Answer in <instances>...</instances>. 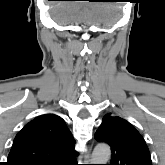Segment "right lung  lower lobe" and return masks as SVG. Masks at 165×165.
<instances>
[{
	"label": "right lung lower lobe",
	"mask_w": 165,
	"mask_h": 165,
	"mask_svg": "<svg viewBox=\"0 0 165 165\" xmlns=\"http://www.w3.org/2000/svg\"><path fill=\"white\" fill-rule=\"evenodd\" d=\"M77 155L78 154H66L60 159V161L56 162L54 165H77L74 158Z\"/></svg>",
	"instance_id": "98d812e1"
}]
</instances>
